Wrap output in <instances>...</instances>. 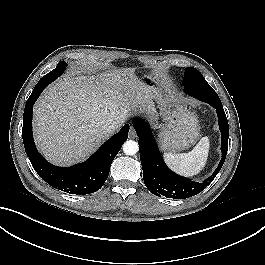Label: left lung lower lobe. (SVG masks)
Listing matches in <instances>:
<instances>
[{
	"mask_svg": "<svg viewBox=\"0 0 265 265\" xmlns=\"http://www.w3.org/2000/svg\"><path fill=\"white\" fill-rule=\"evenodd\" d=\"M185 92L216 109L221 131L222 159L211 177L203 182H195L172 172L163 161L148 124L141 119H134L133 126L139 137V152L143 169V180L148 190L156 196L173 199L192 197L202 190L219 173L228 150L229 126L217 93L209 84H196L187 87Z\"/></svg>",
	"mask_w": 265,
	"mask_h": 265,
	"instance_id": "0a47b994",
	"label": "left lung lower lobe"
}]
</instances>
